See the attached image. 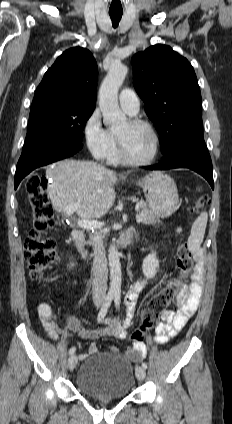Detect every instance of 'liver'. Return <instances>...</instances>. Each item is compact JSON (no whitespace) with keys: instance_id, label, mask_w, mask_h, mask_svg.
<instances>
[{"instance_id":"obj_1","label":"liver","mask_w":232,"mask_h":424,"mask_svg":"<svg viewBox=\"0 0 232 424\" xmlns=\"http://www.w3.org/2000/svg\"><path fill=\"white\" fill-rule=\"evenodd\" d=\"M51 179L48 196L57 212H64L71 204L81 219H97L105 215L115 201V173L96 163L65 159L47 169Z\"/></svg>"}]
</instances>
